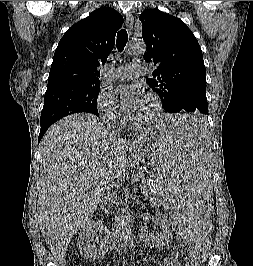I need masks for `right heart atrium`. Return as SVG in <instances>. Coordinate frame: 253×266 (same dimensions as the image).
Segmentation results:
<instances>
[{
    "mask_svg": "<svg viewBox=\"0 0 253 266\" xmlns=\"http://www.w3.org/2000/svg\"><path fill=\"white\" fill-rule=\"evenodd\" d=\"M97 107L106 122L120 123L124 121L122 110L108 91L102 90L100 92L97 99Z\"/></svg>",
    "mask_w": 253,
    "mask_h": 266,
    "instance_id": "d8ad5b80",
    "label": "right heart atrium"
}]
</instances>
